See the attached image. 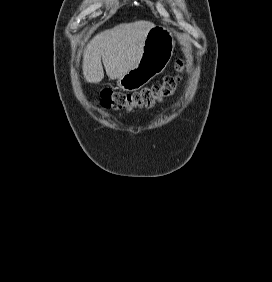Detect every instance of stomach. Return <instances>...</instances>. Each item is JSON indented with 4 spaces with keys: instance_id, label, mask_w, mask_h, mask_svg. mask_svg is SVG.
Here are the masks:
<instances>
[{
    "instance_id": "obj_1",
    "label": "stomach",
    "mask_w": 272,
    "mask_h": 282,
    "mask_svg": "<svg viewBox=\"0 0 272 282\" xmlns=\"http://www.w3.org/2000/svg\"><path fill=\"white\" fill-rule=\"evenodd\" d=\"M174 46L173 37L164 27L153 26L147 33L139 61L118 78V88L136 91L162 73L173 56Z\"/></svg>"
}]
</instances>
